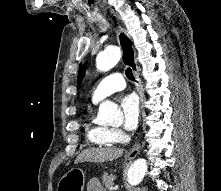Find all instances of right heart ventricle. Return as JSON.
<instances>
[{"mask_svg": "<svg viewBox=\"0 0 221 191\" xmlns=\"http://www.w3.org/2000/svg\"><path fill=\"white\" fill-rule=\"evenodd\" d=\"M85 135L88 142L93 146L105 147L115 143L111 129L96 123L90 113L86 117Z\"/></svg>", "mask_w": 221, "mask_h": 191, "instance_id": "right-heart-ventricle-1", "label": "right heart ventricle"}]
</instances>
